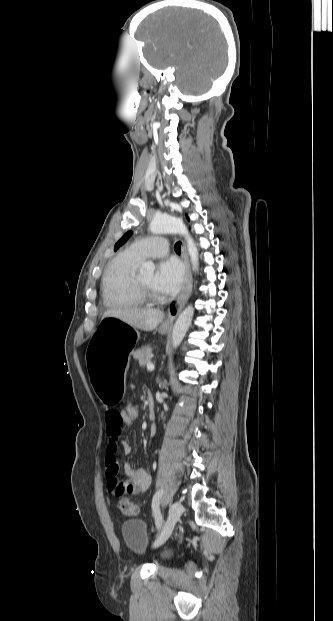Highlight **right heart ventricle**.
<instances>
[{
  "instance_id": "obj_1",
  "label": "right heart ventricle",
  "mask_w": 333,
  "mask_h": 621,
  "mask_svg": "<svg viewBox=\"0 0 333 621\" xmlns=\"http://www.w3.org/2000/svg\"><path fill=\"white\" fill-rule=\"evenodd\" d=\"M140 261L128 251L111 261L102 281V297L108 306H137L145 303L134 285V272Z\"/></svg>"
}]
</instances>
